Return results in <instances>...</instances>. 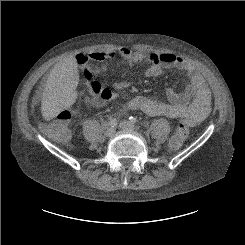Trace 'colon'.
Segmentation results:
<instances>
[{
	"instance_id": "1",
	"label": "colon",
	"mask_w": 245,
	"mask_h": 245,
	"mask_svg": "<svg viewBox=\"0 0 245 245\" xmlns=\"http://www.w3.org/2000/svg\"><path fill=\"white\" fill-rule=\"evenodd\" d=\"M77 61L83 65L84 72H87L88 57L82 56V54L75 55ZM93 90L97 93L104 92L107 96L110 95V91L107 88H103L99 83L93 81L91 83ZM71 113L68 110H62L57 117L50 123L44 126L45 133L54 140L62 141L70 136V132L67 129L68 122L70 121ZM189 135V128L185 121H181L173 134L170 136L168 146L172 151H177L182 148Z\"/></svg>"
}]
</instances>
